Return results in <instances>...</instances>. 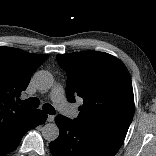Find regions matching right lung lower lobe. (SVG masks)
I'll list each match as a JSON object with an SVG mask.
<instances>
[{"instance_id":"right-lung-lower-lobe-1","label":"right lung lower lobe","mask_w":156,"mask_h":156,"mask_svg":"<svg viewBox=\"0 0 156 156\" xmlns=\"http://www.w3.org/2000/svg\"><path fill=\"white\" fill-rule=\"evenodd\" d=\"M46 119L47 114L42 110L32 109L24 115L10 117L0 123V156L14 150L28 130L42 124Z\"/></svg>"}]
</instances>
